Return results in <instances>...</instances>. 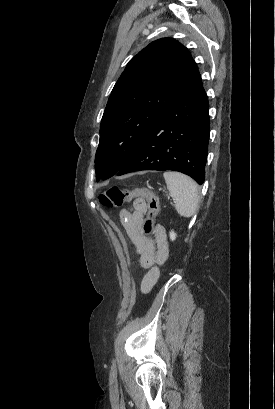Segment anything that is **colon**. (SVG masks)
Wrapping results in <instances>:
<instances>
[{
  "instance_id": "colon-1",
  "label": "colon",
  "mask_w": 275,
  "mask_h": 409,
  "mask_svg": "<svg viewBox=\"0 0 275 409\" xmlns=\"http://www.w3.org/2000/svg\"><path fill=\"white\" fill-rule=\"evenodd\" d=\"M137 198H145L148 202V214L143 225V230L145 234H150L160 210L159 200L150 190H123L119 187H111L100 195L99 200L107 207L105 214L111 215V208H121L123 204L129 203Z\"/></svg>"
}]
</instances>
